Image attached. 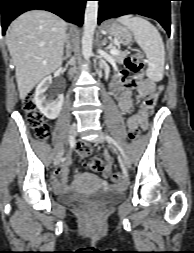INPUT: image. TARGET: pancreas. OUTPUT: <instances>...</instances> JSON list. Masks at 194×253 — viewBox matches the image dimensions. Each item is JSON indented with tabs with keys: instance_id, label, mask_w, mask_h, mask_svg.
I'll return each instance as SVG.
<instances>
[{
	"instance_id": "pancreas-1",
	"label": "pancreas",
	"mask_w": 194,
	"mask_h": 253,
	"mask_svg": "<svg viewBox=\"0 0 194 253\" xmlns=\"http://www.w3.org/2000/svg\"><path fill=\"white\" fill-rule=\"evenodd\" d=\"M127 56V53L125 52H120L118 55H113V59L118 62V63H122L125 59V57Z\"/></svg>"
}]
</instances>
